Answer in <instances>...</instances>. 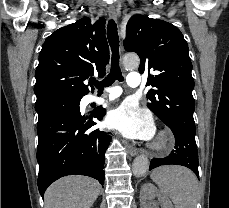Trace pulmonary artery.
Masks as SVG:
<instances>
[{
  "label": "pulmonary artery",
  "mask_w": 229,
  "mask_h": 208,
  "mask_svg": "<svg viewBox=\"0 0 229 208\" xmlns=\"http://www.w3.org/2000/svg\"><path fill=\"white\" fill-rule=\"evenodd\" d=\"M142 76L138 72H131L126 76L127 85L130 87H137L141 83ZM121 90L118 87H111L107 89V95L98 97L96 95L90 96V100L98 104H105L120 96Z\"/></svg>",
  "instance_id": "1"
}]
</instances>
